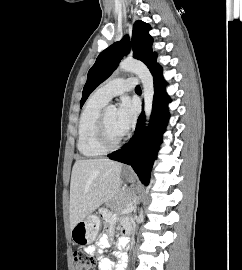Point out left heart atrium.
I'll return each instance as SVG.
<instances>
[{
	"mask_svg": "<svg viewBox=\"0 0 242 270\" xmlns=\"http://www.w3.org/2000/svg\"><path fill=\"white\" fill-rule=\"evenodd\" d=\"M138 106L134 100L124 98L117 110V120L124 132H127L136 122Z\"/></svg>",
	"mask_w": 242,
	"mask_h": 270,
	"instance_id": "39dd6f15",
	"label": "left heart atrium"
}]
</instances>
